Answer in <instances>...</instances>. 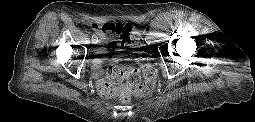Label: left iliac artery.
Returning <instances> with one entry per match:
<instances>
[{
	"mask_svg": "<svg viewBox=\"0 0 255 122\" xmlns=\"http://www.w3.org/2000/svg\"><path fill=\"white\" fill-rule=\"evenodd\" d=\"M146 43L150 44L151 43V39L149 37H147L146 39Z\"/></svg>",
	"mask_w": 255,
	"mask_h": 122,
	"instance_id": "left-iliac-artery-1",
	"label": "left iliac artery"
}]
</instances>
